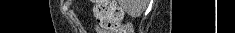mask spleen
I'll return each mask as SVG.
<instances>
[{
	"label": "spleen",
	"mask_w": 235,
	"mask_h": 33,
	"mask_svg": "<svg viewBox=\"0 0 235 33\" xmlns=\"http://www.w3.org/2000/svg\"><path fill=\"white\" fill-rule=\"evenodd\" d=\"M142 9H143V8H141L138 12H136V11L130 12V14H132V13H139V12L142 11Z\"/></svg>",
	"instance_id": "spleen-1"
}]
</instances>
